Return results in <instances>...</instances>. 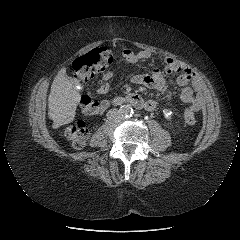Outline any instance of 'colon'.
<instances>
[{"label": "colon", "instance_id": "1", "mask_svg": "<svg viewBox=\"0 0 240 240\" xmlns=\"http://www.w3.org/2000/svg\"><path fill=\"white\" fill-rule=\"evenodd\" d=\"M113 61V51L107 48H95L89 53L78 57L73 62L74 77L82 84L91 80L95 74L103 72ZM80 107L83 114L87 116L97 115L100 111V105L97 100L89 95L81 98ZM184 120L187 124L196 123L194 112L186 108L184 111ZM65 135L72 145L77 148H83L88 139V129L83 120H77L69 124L65 129Z\"/></svg>", "mask_w": 240, "mask_h": 240}]
</instances>
